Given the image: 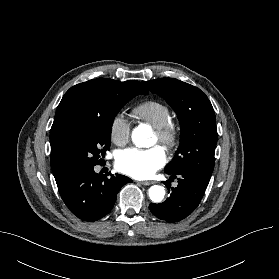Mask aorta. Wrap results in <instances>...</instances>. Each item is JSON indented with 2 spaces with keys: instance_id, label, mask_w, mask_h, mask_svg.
<instances>
[{
  "instance_id": "762f6f07",
  "label": "aorta",
  "mask_w": 279,
  "mask_h": 279,
  "mask_svg": "<svg viewBox=\"0 0 279 279\" xmlns=\"http://www.w3.org/2000/svg\"><path fill=\"white\" fill-rule=\"evenodd\" d=\"M148 133L141 127H137L132 132V140L137 146L145 147L147 144ZM149 197L155 202H161L165 196V189L159 185H153L149 188Z\"/></svg>"
}]
</instances>
